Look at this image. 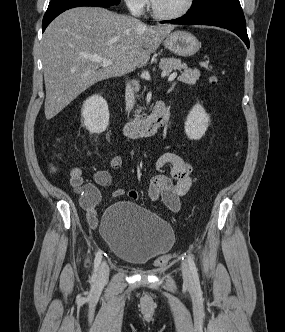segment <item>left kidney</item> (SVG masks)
<instances>
[{"mask_svg": "<svg viewBox=\"0 0 285 332\" xmlns=\"http://www.w3.org/2000/svg\"><path fill=\"white\" fill-rule=\"evenodd\" d=\"M210 118L200 104H196L187 116L185 133L191 140H199L203 137L209 126Z\"/></svg>", "mask_w": 285, "mask_h": 332, "instance_id": "obj_1", "label": "left kidney"}]
</instances>
